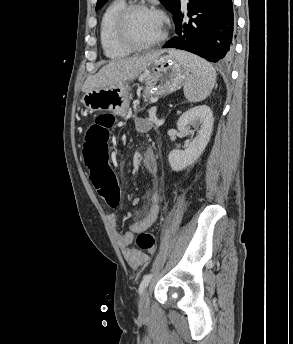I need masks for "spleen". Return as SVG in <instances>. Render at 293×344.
Returning <instances> with one entry per match:
<instances>
[{
  "label": "spleen",
  "mask_w": 293,
  "mask_h": 344,
  "mask_svg": "<svg viewBox=\"0 0 293 344\" xmlns=\"http://www.w3.org/2000/svg\"><path fill=\"white\" fill-rule=\"evenodd\" d=\"M170 53L190 72L184 83L185 97L190 102H199L208 97L217 77L212 65L206 60L187 52L172 50Z\"/></svg>",
  "instance_id": "3e777b00"
}]
</instances>
